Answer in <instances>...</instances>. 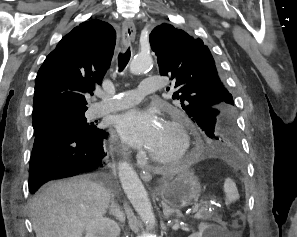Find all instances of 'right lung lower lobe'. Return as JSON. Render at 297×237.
<instances>
[{"label":"right lung lower lobe","instance_id":"obj_1","mask_svg":"<svg viewBox=\"0 0 297 237\" xmlns=\"http://www.w3.org/2000/svg\"><path fill=\"white\" fill-rule=\"evenodd\" d=\"M102 129L83 134L65 121L54 120L35 132L29 166V191L34 194L44 183L80 174L107 177Z\"/></svg>","mask_w":297,"mask_h":237}]
</instances>
